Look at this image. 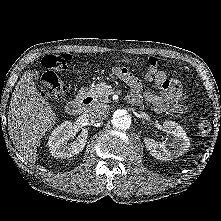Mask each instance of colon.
I'll list each match as a JSON object with an SVG mask.
<instances>
[{
    "instance_id": "obj_1",
    "label": "colon",
    "mask_w": 221,
    "mask_h": 221,
    "mask_svg": "<svg viewBox=\"0 0 221 221\" xmlns=\"http://www.w3.org/2000/svg\"><path fill=\"white\" fill-rule=\"evenodd\" d=\"M72 61L68 53L48 54L42 59V66L45 72L41 78V93L44 97L51 100H61L65 97L68 90V84L58 78L55 71L66 70ZM147 77L164 84L165 77L158 70V61L155 57L148 60ZM212 124L207 112L203 111L198 119V129L202 134L211 131Z\"/></svg>"
}]
</instances>
